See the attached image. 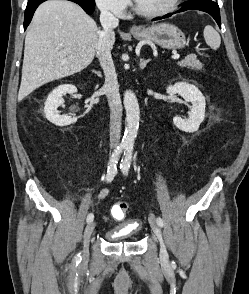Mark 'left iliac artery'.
I'll list each match as a JSON object with an SVG mask.
<instances>
[{
	"label": "left iliac artery",
	"mask_w": 249,
	"mask_h": 294,
	"mask_svg": "<svg viewBox=\"0 0 249 294\" xmlns=\"http://www.w3.org/2000/svg\"><path fill=\"white\" fill-rule=\"evenodd\" d=\"M133 155V145H128L125 148L124 156L121 160L120 168L124 174H128V170L130 168L131 160ZM157 224L162 227L163 226V219L161 217H157L156 219Z\"/></svg>",
	"instance_id": "obj_1"
}]
</instances>
